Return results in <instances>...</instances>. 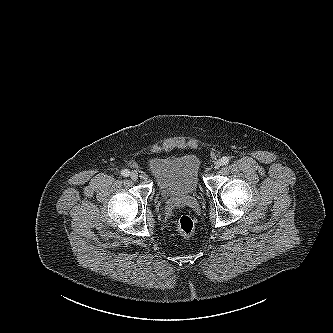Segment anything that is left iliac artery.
<instances>
[{
  "mask_svg": "<svg viewBox=\"0 0 333 333\" xmlns=\"http://www.w3.org/2000/svg\"><path fill=\"white\" fill-rule=\"evenodd\" d=\"M230 159L229 157L227 156H224L222 159H221V163L222 165H227L229 163Z\"/></svg>",
  "mask_w": 333,
  "mask_h": 333,
  "instance_id": "left-iliac-artery-1",
  "label": "left iliac artery"
}]
</instances>
